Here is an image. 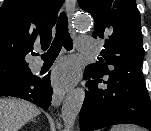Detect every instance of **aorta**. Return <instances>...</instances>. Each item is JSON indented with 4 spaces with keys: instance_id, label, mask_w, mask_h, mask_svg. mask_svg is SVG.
I'll return each instance as SVG.
<instances>
[{
    "instance_id": "aorta-1",
    "label": "aorta",
    "mask_w": 151,
    "mask_h": 131,
    "mask_svg": "<svg viewBox=\"0 0 151 131\" xmlns=\"http://www.w3.org/2000/svg\"><path fill=\"white\" fill-rule=\"evenodd\" d=\"M90 18L85 14L78 15L74 20V27L78 31L90 28ZM85 98V90L77 88L72 90L64 99L62 105V119L68 128L73 127L76 117L79 114Z\"/></svg>"
}]
</instances>
